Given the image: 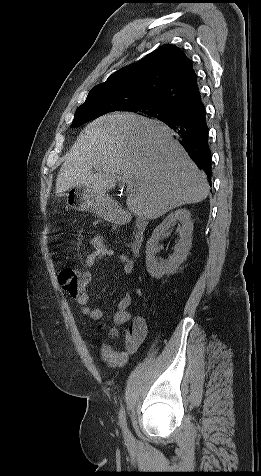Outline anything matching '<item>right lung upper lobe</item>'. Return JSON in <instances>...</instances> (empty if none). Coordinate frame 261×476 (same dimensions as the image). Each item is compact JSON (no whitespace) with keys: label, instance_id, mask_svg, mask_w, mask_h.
<instances>
[{"label":"right lung upper lobe","instance_id":"cb5924a9","mask_svg":"<svg viewBox=\"0 0 261 476\" xmlns=\"http://www.w3.org/2000/svg\"><path fill=\"white\" fill-rule=\"evenodd\" d=\"M200 99L192 62L180 48L165 44L93 87L82 105L107 101L119 104L122 111L157 104L183 110Z\"/></svg>","mask_w":261,"mask_h":476}]
</instances>
